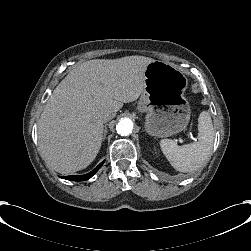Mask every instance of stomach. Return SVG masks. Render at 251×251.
Returning a JSON list of instances; mask_svg holds the SVG:
<instances>
[{"label":"stomach","mask_w":251,"mask_h":251,"mask_svg":"<svg viewBox=\"0 0 251 251\" xmlns=\"http://www.w3.org/2000/svg\"><path fill=\"white\" fill-rule=\"evenodd\" d=\"M144 75L138 107L147 114L146 131L166 137L185 129L190 119V107L184 98L187 77L174 65L159 60L148 63Z\"/></svg>","instance_id":"1"}]
</instances>
